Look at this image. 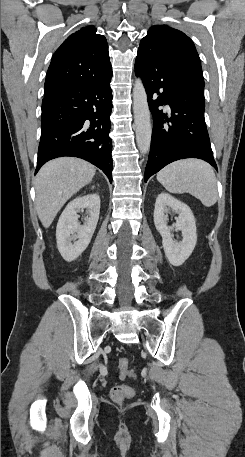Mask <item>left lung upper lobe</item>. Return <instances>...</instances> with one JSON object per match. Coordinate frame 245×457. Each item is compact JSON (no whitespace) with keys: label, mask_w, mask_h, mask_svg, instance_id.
<instances>
[{"label":"left lung upper lobe","mask_w":245,"mask_h":457,"mask_svg":"<svg viewBox=\"0 0 245 457\" xmlns=\"http://www.w3.org/2000/svg\"><path fill=\"white\" fill-rule=\"evenodd\" d=\"M138 53L164 57L188 82L190 90L204 97L201 61L194 43L183 32L154 25L141 40Z\"/></svg>","instance_id":"5c2ea615"}]
</instances>
